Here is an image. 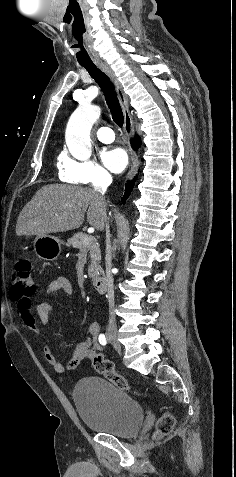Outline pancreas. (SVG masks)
Returning <instances> with one entry per match:
<instances>
[{
	"label": "pancreas",
	"instance_id": "cf45deb5",
	"mask_svg": "<svg viewBox=\"0 0 236 477\" xmlns=\"http://www.w3.org/2000/svg\"><path fill=\"white\" fill-rule=\"evenodd\" d=\"M86 237H88V235L82 232L74 234V236L67 241V245L79 249L83 256H86L89 252L91 264L88 267V276L92 279H96L100 273L103 272L100 266L101 252L99 245L94 240L85 245L83 241Z\"/></svg>",
	"mask_w": 236,
	"mask_h": 477
}]
</instances>
